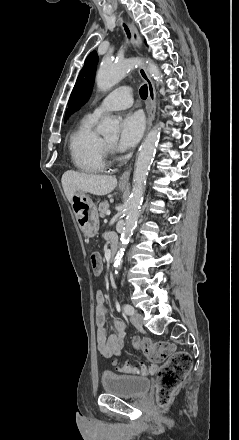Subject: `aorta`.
<instances>
[{
    "mask_svg": "<svg viewBox=\"0 0 239 440\" xmlns=\"http://www.w3.org/2000/svg\"><path fill=\"white\" fill-rule=\"evenodd\" d=\"M136 66H139V60H137V58L124 60L122 64H112V62L104 60V62H101L96 74L97 88H99L100 92H107V90L119 84V82L125 78L126 74H128L129 70H134ZM146 66L149 74H151L153 78H156V80H159L160 74L156 64L148 60ZM97 132L100 136H117V134H119V120H117L115 116H106L102 124L97 126ZM158 140L159 132L157 128H152L151 132L147 134L136 160L132 192L126 212L125 228L123 234H121L120 248L114 258L113 266L115 268V274H118V270H120L122 266L124 250L139 218L146 180Z\"/></svg>",
    "mask_w": 239,
    "mask_h": 440,
    "instance_id": "aorta-1",
    "label": "aorta"
}]
</instances>
